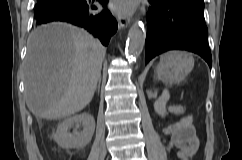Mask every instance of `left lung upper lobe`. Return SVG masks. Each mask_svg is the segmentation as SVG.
Returning a JSON list of instances; mask_svg holds the SVG:
<instances>
[{"label":"left lung upper lobe","instance_id":"5c2ea615","mask_svg":"<svg viewBox=\"0 0 242 160\" xmlns=\"http://www.w3.org/2000/svg\"><path fill=\"white\" fill-rule=\"evenodd\" d=\"M166 1L189 4V5L204 9L203 0H166Z\"/></svg>","mask_w":242,"mask_h":160}]
</instances>
